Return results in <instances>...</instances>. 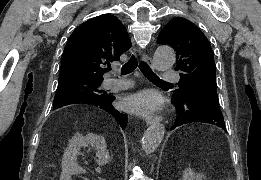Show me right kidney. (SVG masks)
I'll return each mask as SVG.
<instances>
[{
    "label": "right kidney",
    "instance_id": "right-kidney-1",
    "mask_svg": "<svg viewBox=\"0 0 261 180\" xmlns=\"http://www.w3.org/2000/svg\"><path fill=\"white\" fill-rule=\"evenodd\" d=\"M87 146L96 148V158H98L96 162L99 166H104V164L109 162L110 156L103 136H98V134H87V136L75 134L72 140H70L69 148L65 150L61 160L62 172L60 180H68L71 174L85 172V170L79 168L78 164H76V160L81 148H87Z\"/></svg>",
    "mask_w": 261,
    "mask_h": 180
}]
</instances>
